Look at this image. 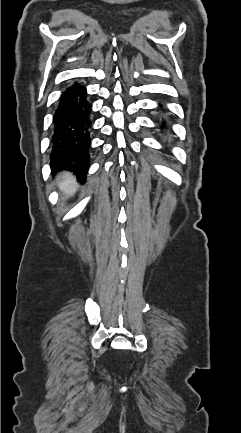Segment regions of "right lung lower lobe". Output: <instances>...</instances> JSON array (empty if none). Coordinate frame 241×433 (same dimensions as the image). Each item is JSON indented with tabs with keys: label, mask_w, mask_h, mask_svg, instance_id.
Here are the masks:
<instances>
[{
	"label": "right lung lower lobe",
	"mask_w": 241,
	"mask_h": 433,
	"mask_svg": "<svg viewBox=\"0 0 241 433\" xmlns=\"http://www.w3.org/2000/svg\"><path fill=\"white\" fill-rule=\"evenodd\" d=\"M91 107L86 88L74 83L62 93L53 117L52 142L57 154H51V168L71 170L81 181L89 168Z\"/></svg>",
	"instance_id": "obj_1"
}]
</instances>
